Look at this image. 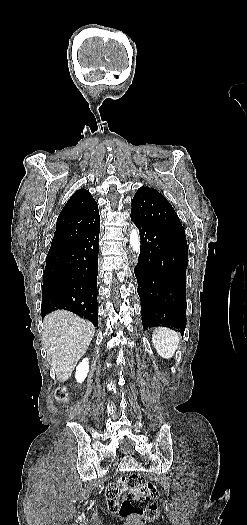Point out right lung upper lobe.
<instances>
[{
    "label": "right lung upper lobe",
    "mask_w": 247,
    "mask_h": 525,
    "mask_svg": "<svg viewBox=\"0 0 247 525\" xmlns=\"http://www.w3.org/2000/svg\"><path fill=\"white\" fill-rule=\"evenodd\" d=\"M100 226L98 205L88 190L76 191L62 209L49 253L83 238Z\"/></svg>",
    "instance_id": "1"
}]
</instances>
